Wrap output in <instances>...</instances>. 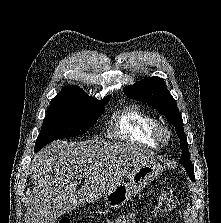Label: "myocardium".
Masks as SVG:
<instances>
[{"instance_id": "obj_1", "label": "myocardium", "mask_w": 221, "mask_h": 223, "mask_svg": "<svg viewBox=\"0 0 221 223\" xmlns=\"http://www.w3.org/2000/svg\"><path fill=\"white\" fill-rule=\"evenodd\" d=\"M153 139L161 145H166L171 139V131L162 123H157L151 132Z\"/></svg>"}]
</instances>
